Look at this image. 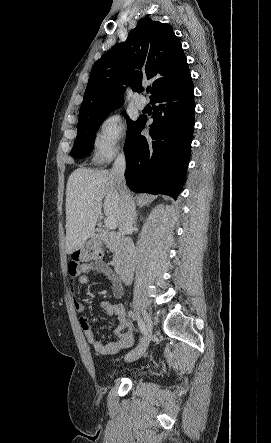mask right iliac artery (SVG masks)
<instances>
[{"label": "right iliac artery", "instance_id": "obj_1", "mask_svg": "<svg viewBox=\"0 0 271 443\" xmlns=\"http://www.w3.org/2000/svg\"><path fill=\"white\" fill-rule=\"evenodd\" d=\"M137 323H138V327H139L141 333H142L144 336L147 335V333H148L147 328H146L144 322L142 321V319H140L139 316H137Z\"/></svg>", "mask_w": 271, "mask_h": 443}]
</instances>
